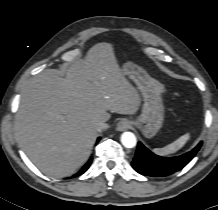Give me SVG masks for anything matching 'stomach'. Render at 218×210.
I'll return each instance as SVG.
<instances>
[{
    "instance_id": "0dacf381",
    "label": "stomach",
    "mask_w": 218,
    "mask_h": 210,
    "mask_svg": "<svg viewBox=\"0 0 218 210\" xmlns=\"http://www.w3.org/2000/svg\"><path fill=\"white\" fill-rule=\"evenodd\" d=\"M123 71L135 82L143 97L142 112L135 124L146 138H152L160 130L164 121L163 92L159 90L154 79L140 67L127 63Z\"/></svg>"
}]
</instances>
